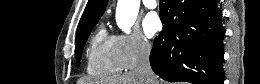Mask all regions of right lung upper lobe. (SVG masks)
Segmentation results:
<instances>
[{
	"instance_id": "1",
	"label": "right lung upper lobe",
	"mask_w": 260,
	"mask_h": 84,
	"mask_svg": "<svg viewBox=\"0 0 260 84\" xmlns=\"http://www.w3.org/2000/svg\"><path fill=\"white\" fill-rule=\"evenodd\" d=\"M107 0H89L78 25L77 36L103 15Z\"/></svg>"
}]
</instances>
